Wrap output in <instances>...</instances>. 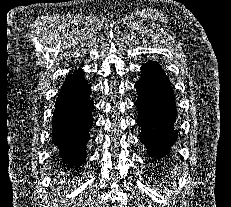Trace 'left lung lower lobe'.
Returning <instances> with one entry per match:
<instances>
[{
    "label": "left lung lower lobe",
    "mask_w": 231,
    "mask_h": 207,
    "mask_svg": "<svg viewBox=\"0 0 231 207\" xmlns=\"http://www.w3.org/2000/svg\"><path fill=\"white\" fill-rule=\"evenodd\" d=\"M142 76L135 85L138 90L137 122L142 131L141 142L156 161L170 153L177 139L174 123L177 117L175 95L168 77L156 61L141 67Z\"/></svg>",
    "instance_id": "0a47b994"
}]
</instances>
